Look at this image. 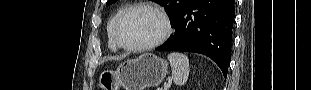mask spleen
<instances>
[{"label": "spleen", "mask_w": 311, "mask_h": 90, "mask_svg": "<svg viewBox=\"0 0 311 90\" xmlns=\"http://www.w3.org/2000/svg\"><path fill=\"white\" fill-rule=\"evenodd\" d=\"M172 68V78L176 85H184L189 76V59L186 55L181 53H170L168 56Z\"/></svg>", "instance_id": "spleen-1"}]
</instances>
